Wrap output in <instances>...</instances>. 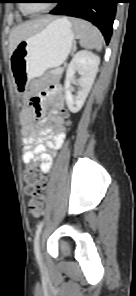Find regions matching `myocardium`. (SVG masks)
<instances>
[{
	"mask_svg": "<svg viewBox=\"0 0 136 296\" xmlns=\"http://www.w3.org/2000/svg\"><path fill=\"white\" fill-rule=\"evenodd\" d=\"M24 10L29 13V14H37V13H40V12H43V11H46L47 9H49V7H46V8H41V9H33L32 7H30V5L28 3H23L22 4Z\"/></svg>",
	"mask_w": 136,
	"mask_h": 296,
	"instance_id": "myocardium-1",
	"label": "myocardium"
}]
</instances>
